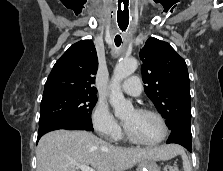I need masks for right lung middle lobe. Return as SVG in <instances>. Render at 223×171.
Segmentation results:
<instances>
[{"label":"right lung middle lobe","mask_w":223,"mask_h":171,"mask_svg":"<svg viewBox=\"0 0 223 171\" xmlns=\"http://www.w3.org/2000/svg\"><path fill=\"white\" fill-rule=\"evenodd\" d=\"M95 94L62 93L43 98L39 124L57 117H74L92 124L91 113L96 105Z\"/></svg>","instance_id":"dd1d6c3e"}]
</instances>
